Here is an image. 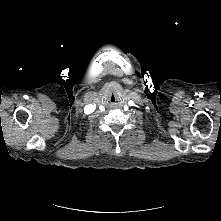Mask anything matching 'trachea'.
Masks as SVG:
<instances>
[{"label": "trachea", "mask_w": 221, "mask_h": 221, "mask_svg": "<svg viewBox=\"0 0 221 221\" xmlns=\"http://www.w3.org/2000/svg\"><path fill=\"white\" fill-rule=\"evenodd\" d=\"M112 99H113V100H111V101H114V96H112Z\"/></svg>", "instance_id": "obj_1"}]
</instances>
